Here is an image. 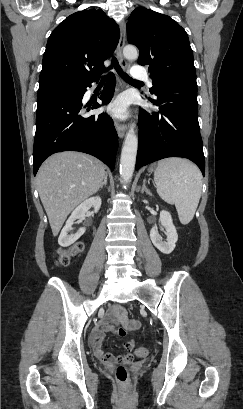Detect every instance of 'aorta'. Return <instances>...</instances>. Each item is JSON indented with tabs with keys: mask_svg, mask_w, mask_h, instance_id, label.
Listing matches in <instances>:
<instances>
[{
	"mask_svg": "<svg viewBox=\"0 0 243 409\" xmlns=\"http://www.w3.org/2000/svg\"><path fill=\"white\" fill-rule=\"evenodd\" d=\"M123 55L129 60L138 58L137 48L126 46L123 49ZM138 147V136L135 132L134 125L131 124L126 133L125 141L121 151L120 175L124 182H128L133 175Z\"/></svg>",
	"mask_w": 243,
	"mask_h": 409,
	"instance_id": "obj_1",
	"label": "aorta"
}]
</instances>
